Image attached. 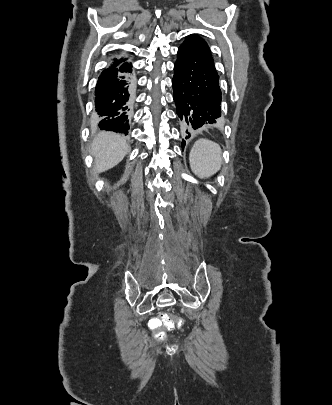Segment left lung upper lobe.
<instances>
[{"instance_id":"left-lung-upper-lobe-1","label":"left lung upper lobe","mask_w":332,"mask_h":405,"mask_svg":"<svg viewBox=\"0 0 332 405\" xmlns=\"http://www.w3.org/2000/svg\"><path fill=\"white\" fill-rule=\"evenodd\" d=\"M183 44L201 51L205 56L213 60L207 43L205 42L204 39H202L198 35L191 34L187 36Z\"/></svg>"}]
</instances>
